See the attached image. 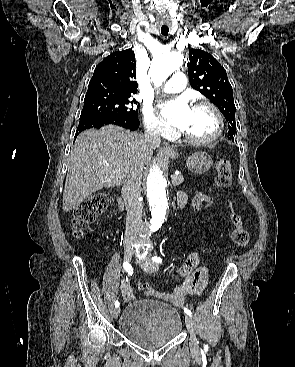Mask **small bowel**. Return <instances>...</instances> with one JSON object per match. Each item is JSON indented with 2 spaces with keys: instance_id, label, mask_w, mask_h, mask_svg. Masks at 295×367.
<instances>
[{
  "instance_id": "small-bowel-1",
  "label": "small bowel",
  "mask_w": 295,
  "mask_h": 367,
  "mask_svg": "<svg viewBox=\"0 0 295 367\" xmlns=\"http://www.w3.org/2000/svg\"><path fill=\"white\" fill-rule=\"evenodd\" d=\"M178 204L187 202V195L184 191H179L177 194ZM201 262V251L196 250L190 254L184 261L181 267V275L183 278L182 289L176 293V297L180 301L186 300V294L200 296L205 290L209 281V270L205 266H199ZM122 296L129 299L131 296L130 285L125 282L121 286Z\"/></svg>"
}]
</instances>
